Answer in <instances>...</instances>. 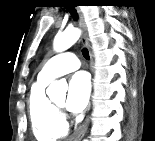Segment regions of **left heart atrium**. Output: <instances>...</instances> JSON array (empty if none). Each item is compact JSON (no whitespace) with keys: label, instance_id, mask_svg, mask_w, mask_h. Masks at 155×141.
<instances>
[{"label":"left heart atrium","instance_id":"1","mask_svg":"<svg viewBox=\"0 0 155 141\" xmlns=\"http://www.w3.org/2000/svg\"><path fill=\"white\" fill-rule=\"evenodd\" d=\"M90 97V81L85 72L76 73L69 82V90L66 106L74 112L83 111Z\"/></svg>","mask_w":155,"mask_h":141}]
</instances>
